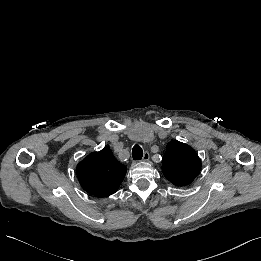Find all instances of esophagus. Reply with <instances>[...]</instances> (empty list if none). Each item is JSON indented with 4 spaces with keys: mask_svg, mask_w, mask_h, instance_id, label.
<instances>
[{
    "mask_svg": "<svg viewBox=\"0 0 261 261\" xmlns=\"http://www.w3.org/2000/svg\"><path fill=\"white\" fill-rule=\"evenodd\" d=\"M149 159H150V155H149V153L148 152H145L144 153V155H143V161H149Z\"/></svg>",
    "mask_w": 261,
    "mask_h": 261,
    "instance_id": "obj_1",
    "label": "esophagus"
}]
</instances>
